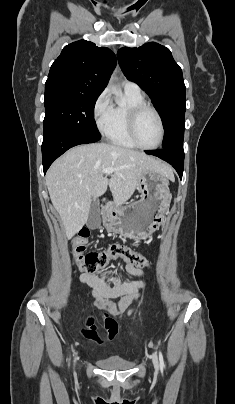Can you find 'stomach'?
<instances>
[{"label": "stomach", "instance_id": "0dacf381", "mask_svg": "<svg viewBox=\"0 0 235 404\" xmlns=\"http://www.w3.org/2000/svg\"><path fill=\"white\" fill-rule=\"evenodd\" d=\"M168 177L149 171L140 178V199L110 210L105 226L109 231L131 239H146L162 225L170 201Z\"/></svg>", "mask_w": 235, "mask_h": 404}]
</instances>
